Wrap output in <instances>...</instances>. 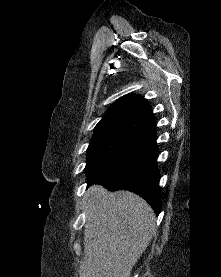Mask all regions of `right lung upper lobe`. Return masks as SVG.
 <instances>
[{"instance_id":"obj_1","label":"right lung upper lobe","mask_w":221,"mask_h":277,"mask_svg":"<svg viewBox=\"0 0 221 277\" xmlns=\"http://www.w3.org/2000/svg\"><path fill=\"white\" fill-rule=\"evenodd\" d=\"M151 113V107L140 95H126L113 103L97 127L126 124H142L143 118Z\"/></svg>"}]
</instances>
